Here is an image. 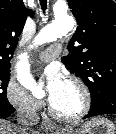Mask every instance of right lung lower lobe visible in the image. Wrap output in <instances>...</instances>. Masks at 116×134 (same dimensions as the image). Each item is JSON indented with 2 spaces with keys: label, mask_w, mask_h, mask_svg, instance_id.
I'll return each instance as SVG.
<instances>
[{
  "label": "right lung lower lobe",
  "mask_w": 116,
  "mask_h": 134,
  "mask_svg": "<svg viewBox=\"0 0 116 134\" xmlns=\"http://www.w3.org/2000/svg\"><path fill=\"white\" fill-rule=\"evenodd\" d=\"M14 114V108L5 112L4 114H0V118H6V117H11Z\"/></svg>",
  "instance_id": "right-lung-lower-lobe-1"
}]
</instances>
